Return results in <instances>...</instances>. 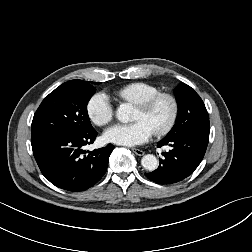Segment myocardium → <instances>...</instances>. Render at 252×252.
<instances>
[{"label": "myocardium", "mask_w": 252, "mask_h": 252, "mask_svg": "<svg viewBox=\"0 0 252 252\" xmlns=\"http://www.w3.org/2000/svg\"><path fill=\"white\" fill-rule=\"evenodd\" d=\"M160 102H165L168 105V112L165 120L154 131L158 135H163L170 131L176 121L178 105L174 96L169 93H158L139 104L138 108L145 114H151Z\"/></svg>", "instance_id": "f54148a6"}]
</instances>
